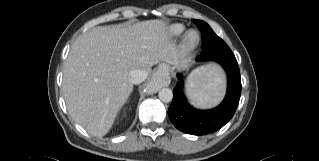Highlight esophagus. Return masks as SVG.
Returning <instances> with one entry per match:
<instances>
[{
	"mask_svg": "<svg viewBox=\"0 0 319 161\" xmlns=\"http://www.w3.org/2000/svg\"><path fill=\"white\" fill-rule=\"evenodd\" d=\"M165 85H167V81L158 76H153L149 81V86L156 90H159Z\"/></svg>",
	"mask_w": 319,
	"mask_h": 161,
	"instance_id": "esophagus-1",
	"label": "esophagus"
}]
</instances>
